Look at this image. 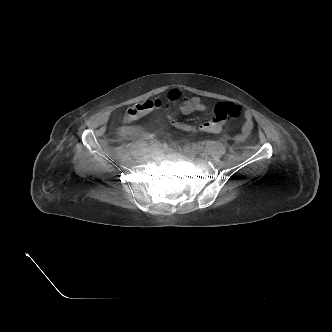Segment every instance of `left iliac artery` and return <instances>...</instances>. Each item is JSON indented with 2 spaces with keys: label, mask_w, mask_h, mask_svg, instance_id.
<instances>
[{
  "label": "left iliac artery",
  "mask_w": 332,
  "mask_h": 332,
  "mask_svg": "<svg viewBox=\"0 0 332 332\" xmlns=\"http://www.w3.org/2000/svg\"><path fill=\"white\" fill-rule=\"evenodd\" d=\"M194 151L196 153H202L203 152V147L201 145H194Z\"/></svg>",
  "instance_id": "44dca946"
}]
</instances>
